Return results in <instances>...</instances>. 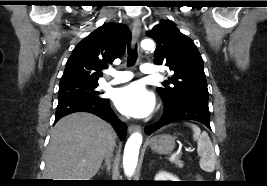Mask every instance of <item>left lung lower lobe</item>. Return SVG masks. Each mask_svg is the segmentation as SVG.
Wrapping results in <instances>:
<instances>
[{
	"mask_svg": "<svg viewBox=\"0 0 267 186\" xmlns=\"http://www.w3.org/2000/svg\"><path fill=\"white\" fill-rule=\"evenodd\" d=\"M181 120L198 121L211 129L208 105L200 103H184L178 106L165 108L161 120L151 126L146 127L145 133L150 135L164 125Z\"/></svg>",
	"mask_w": 267,
	"mask_h": 186,
	"instance_id": "obj_1",
	"label": "left lung lower lobe"
}]
</instances>
